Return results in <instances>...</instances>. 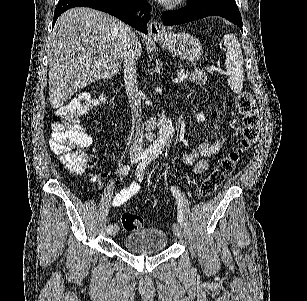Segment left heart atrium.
Wrapping results in <instances>:
<instances>
[{
	"label": "left heart atrium",
	"mask_w": 307,
	"mask_h": 301,
	"mask_svg": "<svg viewBox=\"0 0 307 301\" xmlns=\"http://www.w3.org/2000/svg\"><path fill=\"white\" fill-rule=\"evenodd\" d=\"M163 4H176L177 0H162Z\"/></svg>",
	"instance_id": "left-heart-atrium-1"
}]
</instances>
